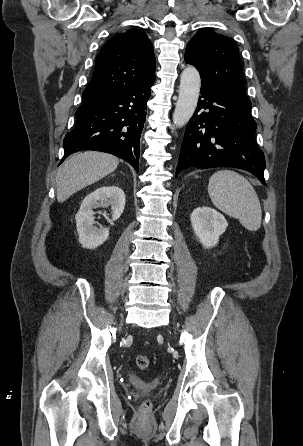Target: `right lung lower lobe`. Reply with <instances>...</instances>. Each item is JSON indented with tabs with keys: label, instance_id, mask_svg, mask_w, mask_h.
I'll return each mask as SVG.
<instances>
[{
	"label": "right lung lower lobe",
	"instance_id": "98d812e1",
	"mask_svg": "<svg viewBox=\"0 0 303 446\" xmlns=\"http://www.w3.org/2000/svg\"><path fill=\"white\" fill-rule=\"evenodd\" d=\"M154 80L83 101L75 113V128L64 138L62 161L80 150H96L124 159L138 172L140 137Z\"/></svg>",
	"mask_w": 303,
	"mask_h": 446
}]
</instances>
